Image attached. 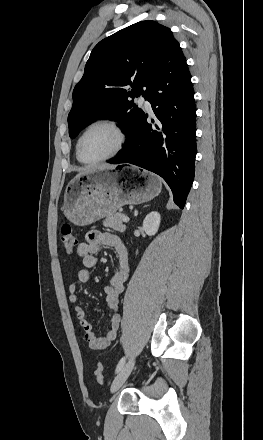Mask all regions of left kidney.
Masks as SVG:
<instances>
[{
    "mask_svg": "<svg viewBox=\"0 0 263 440\" xmlns=\"http://www.w3.org/2000/svg\"><path fill=\"white\" fill-rule=\"evenodd\" d=\"M161 217L156 211L149 213L143 220V229L149 236H153L157 233L160 226Z\"/></svg>",
    "mask_w": 263,
    "mask_h": 440,
    "instance_id": "left-kidney-1",
    "label": "left kidney"
}]
</instances>
